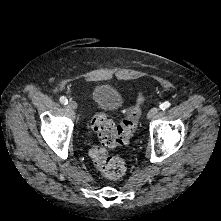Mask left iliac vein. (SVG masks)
<instances>
[{
  "label": "left iliac vein",
  "mask_w": 221,
  "mask_h": 221,
  "mask_svg": "<svg viewBox=\"0 0 221 221\" xmlns=\"http://www.w3.org/2000/svg\"><path fill=\"white\" fill-rule=\"evenodd\" d=\"M159 113V109L158 107H153L149 110L148 114H147V118L148 119H152L154 118L157 114Z\"/></svg>",
  "instance_id": "obj_1"
}]
</instances>
